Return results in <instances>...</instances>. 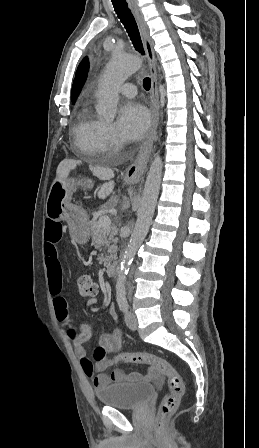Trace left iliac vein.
I'll list each match as a JSON object with an SVG mask.
<instances>
[{"label":"left iliac vein","instance_id":"obj_1","mask_svg":"<svg viewBox=\"0 0 259 448\" xmlns=\"http://www.w3.org/2000/svg\"><path fill=\"white\" fill-rule=\"evenodd\" d=\"M125 323L127 327L131 330H136L137 328V317L131 310L125 313Z\"/></svg>","mask_w":259,"mask_h":448}]
</instances>
